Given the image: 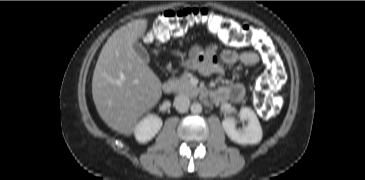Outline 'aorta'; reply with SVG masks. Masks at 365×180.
<instances>
[{
    "label": "aorta",
    "mask_w": 365,
    "mask_h": 180,
    "mask_svg": "<svg viewBox=\"0 0 365 180\" xmlns=\"http://www.w3.org/2000/svg\"><path fill=\"white\" fill-rule=\"evenodd\" d=\"M191 112L193 114H199L202 112V105L198 102H194L192 105H191Z\"/></svg>",
    "instance_id": "aorta-1"
}]
</instances>
